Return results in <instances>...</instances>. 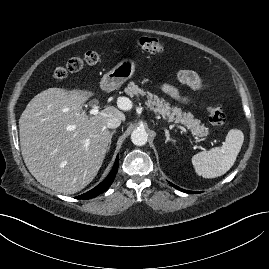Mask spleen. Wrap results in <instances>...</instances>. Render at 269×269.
Instances as JSON below:
<instances>
[{
  "label": "spleen",
  "mask_w": 269,
  "mask_h": 269,
  "mask_svg": "<svg viewBox=\"0 0 269 269\" xmlns=\"http://www.w3.org/2000/svg\"><path fill=\"white\" fill-rule=\"evenodd\" d=\"M244 141V134L239 129H231L225 143L209 151H202L192 157V164L198 175L215 178L224 175L234 165Z\"/></svg>",
  "instance_id": "1"
}]
</instances>
